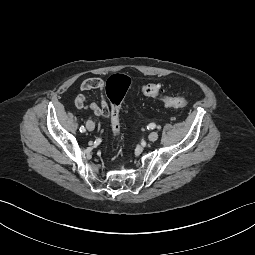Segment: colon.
I'll use <instances>...</instances> for the list:
<instances>
[{"mask_svg": "<svg viewBox=\"0 0 255 255\" xmlns=\"http://www.w3.org/2000/svg\"><path fill=\"white\" fill-rule=\"evenodd\" d=\"M130 78L124 74H114L106 82V93L111 102V129L114 136L120 133V105L130 87ZM145 96L159 98L166 107L184 108L188 105L185 97H172L161 94L160 87L156 84H145L142 86Z\"/></svg>", "mask_w": 255, "mask_h": 255, "instance_id": "1", "label": "colon"}]
</instances>
